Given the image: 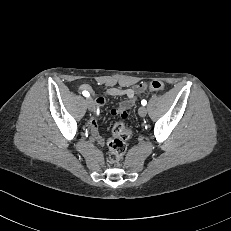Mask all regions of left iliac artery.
<instances>
[{
    "label": "left iliac artery",
    "mask_w": 231,
    "mask_h": 231,
    "mask_svg": "<svg viewBox=\"0 0 231 231\" xmlns=\"http://www.w3.org/2000/svg\"><path fill=\"white\" fill-rule=\"evenodd\" d=\"M141 104H142L143 106H145V105L147 104L146 100H142V101H141Z\"/></svg>",
    "instance_id": "left-iliac-artery-1"
}]
</instances>
